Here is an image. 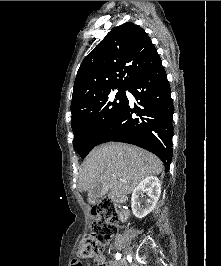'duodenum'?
<instances>
[{
  "label": "duodenum",
  "mask_w": 221,
  "mask_h": 266,
  "mask_svg": "<svg viewBox=\"0 0 221 266\" xmlns=\"http://www.w3.org/2000/svg\"><path fill=\"white\" fill-rule=\"evenodd\" d=\"M116 200L119 202H122L124 200V198L121 196H117ZM89 203H96V198H89ZM121 216H122V219H125L127 214L125 212H123Z\"/></svg>",
  "instance_id": "obj_1"
}]
</instances>
